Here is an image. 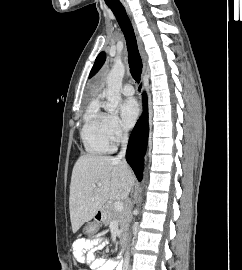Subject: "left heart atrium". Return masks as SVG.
<instances>
[{
  "label": "left heart atrium",
  "instance_id": "39dd6f15",
  "mask_svg": "<svg viewBox=\"0 0 242 270\" xmlns=\"http://www.w3.org/2000/svg\"><path fill=\"white\" fill-rule=\"evenodd\" d=\"M121 116L125 126L134 125L139 116V105L134 98H128L121 104Z\"/></svg>",
  "mask_w": 242,
  "mask_h": 270
}]
</instances>
